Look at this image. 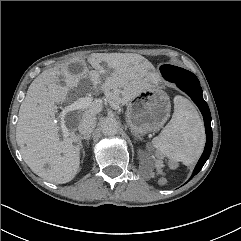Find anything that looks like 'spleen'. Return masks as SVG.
<instances>
[{"mask_svg":"<svg viewBox=\"0 0 241 241\" xmlns=\"http://www.w3.org/2000/svg\"><path fill=\"white\" fill-rule=\"evenodd\" d=\"M152 144L174 162H183L188 166L198 160L205 144V131L191 101L182 96L174 98L172 118L160 135L153 138Z\"/></svg>","mask_w":241,"mask_h":241,"instance_id":"3e777b00","label":"spleen"}]
</instances>
